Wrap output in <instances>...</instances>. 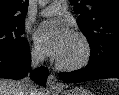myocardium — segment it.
Here are the masks:
<instances>
[{
  "label": "myocardium",
  "mask_w": 119,
  "mask_h": 95,
  "mask_svg": "<svg viewBox=\"0 0 119 95\" xmlns=\"http://www.w3.org/2000/svg\"><path fill=\"white\" fill-rule=\"evenodd\" d=\"M73 36L82 45V55L78 60L71 63H64L58 60L56 66L64 71H76L82 69L88 65L92 57V46L88 38L80 32H75Z\"/></svg>",
  "instance_id": "1"
}]
</instances>
